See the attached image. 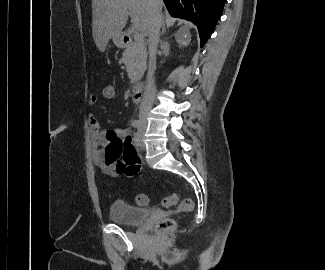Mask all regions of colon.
I'll return each instance as SVG.
<instances>
[{
  "label": "colon",
  "instance_id": "obj_1",
  "mask_svg": "<svg viewBox=\"0 0 325 270\" xmlns=\"http://www.w3.org/2000/svg\"><path fill=\"white\" fill-rule=\"evenodd\" d=\"M102 98L105 101H114L117 97L116 90L112 85H106L102 89ZM136 201L140 205H146L149 201L146 194H139L136 197ZM163 206L167 209H174L177 213H189L193 210V201L189 198L179 201L176 194H171L164 198ZM176 227V221L172 218H164L161 220L157 226L156 230L158 232H168Z\"/></svg>",
  "mask_w": 325,
  "mask_h": 270
}]
</instances>
